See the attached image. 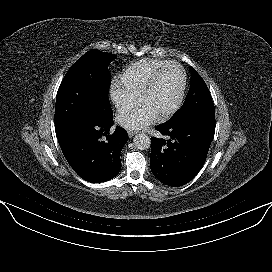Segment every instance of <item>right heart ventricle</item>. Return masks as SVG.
Here are the masks:
<instances>
[{
  "label": "right heart ventricle",
  "instance_id": "obj_1",
  "mask_svg": "<svg viewBox=\"0 0 272 272\" xmlns=\"http://www.w3.org/2000/svg\"><path fill=\"white\" fill-rule=\"evenodd\" d=\"M166 63L168 62L164 60L150 58L135 61L124 70L120 81L125 87L139 95L155 73Z\"/></svg>",
  "mask_w": 272,
  "mask_h": 272
}]
</instances>
